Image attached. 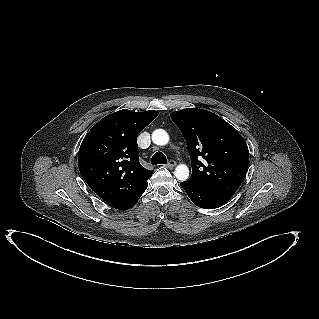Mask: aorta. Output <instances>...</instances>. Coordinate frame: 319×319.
Wrapping results in <instances>:
<instances>
[{"label": "aorta", "mask_w": 319, "mask_h": 319, "mask_svg": "<svg viewBox=\"0 0 319 319\" xmlns=\"http://www.w3.org/2000/svg\"><path fill=\"white\" fill-rule=\"evenodd\" d=\"M152 141L159 146L166 145L169 142V135L163 129H156L152 133ZM174 175L179 181H186L189 178V168L185 164H180L175 168Z\"/></svg>", "instance_id": "1"}]
</instances>
